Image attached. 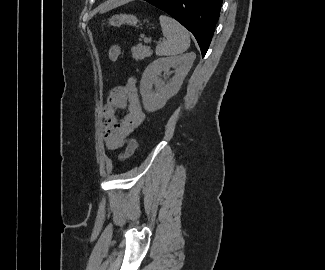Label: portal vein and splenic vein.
<instances>
[{"label": "portal vein and splenic vein", "mask_w": 325, "mask_h": 270, "mask_svg": "<svg viewBox=\"0 0 325 270\" xmlns=\"http://www.w3.org/2000/svg\"><path fill=\"white\" fill-rule=\"evenodd\" d=\"M150 42H151V40L149 38L145 39V43H150Z\"/></svg>", "instance_id": "18ae733b"}]
</instances>
